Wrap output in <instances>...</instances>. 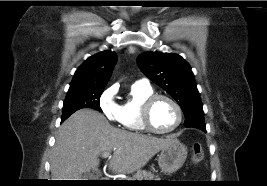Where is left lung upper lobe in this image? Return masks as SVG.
Here are the masks:
<instances>
[{
  "label": "left lung upper lobe",
  "mask_w": 267,
  "mask_h": 186,
  "mask_svg": "<svg viewBox=\"0 0 267 186\" xmlns=\"http://www.w3.org/2000/svg\"><path fill=\"white\" fill-rule=\"evenodd\" d=\"M143 73L180 105L185 127L206 131L204 112L190 65L178 54L144 52L137 58Z\"/></svg>",
  "instance_id": "obj_1"
}]
</instances>
